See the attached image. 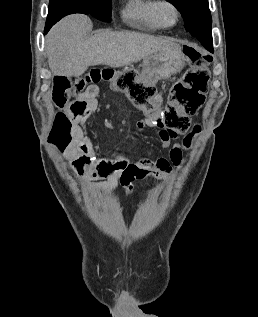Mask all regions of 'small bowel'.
Returning a JSON list of instances; mask_svg holds the SVG:
<instances>
[{
    "label": "small bowel",
    "mask_w": 258,
    "mask_h": 317,
    "mask_svg": "<svg viewBox=\"0 0 258 317\" xmlns=\"http://www.w3.org/2000/svg\"><path fill=\"white\" fill-rule=\"evenodd\" d=\"M96 93V87H89L82 96L74 100L67 108L74 117L76 127L74 139L65 149V155L71 160L75 173L87 180L88 192L97 195L113 192L118 186H121L127 194L131 195L133 181L148 176L170 182V175L182 164L184 152L190 148L192 139L199 132L200 127L195 126L182 143H175L171 147L169 152L170 161L165 158L151 160L144 157L137 162H130L121 156L114 158L101 157L97 152V144L81 127V124L85 123L98 108ZM148 125L146 121L138 122L136 133H142ZM170 139L164 131H159L158 145L161 148L169 147ZM95 180L102 181L94 182Z\"/></svg>",
    "instance_id": "c3829d8e"
}]
</instances>
